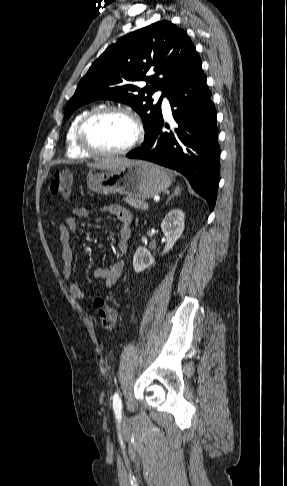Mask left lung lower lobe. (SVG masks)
I'll return each mask as SVG.
<instances>
[{"label":"left lung lower lobe","instance_id":"0a47b994","mask_svg":"<svg viewBox=\"0 0 287 486\" xmlns=\"http://www.w3.org/2000/svg\"><path fill=\"white\" fill-rule=\"evenodd\" d=\"M177 128L163 132L162 117L145 133L144 143L126 156L182 173L213 210L219 184L220 149L216 110L201 60L166 91Z\"/></svg>","mask_w":287,"mask_h":486}]
</instances>
